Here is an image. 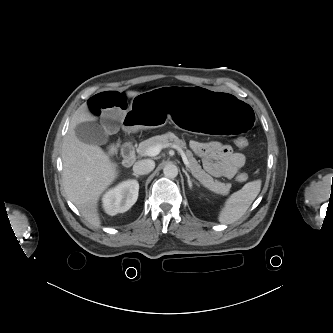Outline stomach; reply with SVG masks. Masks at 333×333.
I'll list each match as a JSON object with an SVG mask.
<instances>
[{"label": "stomach", "mask_w": 333, "mask_h": 333, "mask_svg": "<svg viewBox=\"0 0 333 333\" xmlns=\"http://www.w3.org/2000/svg\"><path fill=\"white\" fill-rule=\"evenodd\" d=\"M125 127L133 131L174 123L197 134L242 138L254 128L255 116L248 103L221 93L165 86L132 100Z\"/></svg>", "instance_id": "obj_1"}]
</instances>
